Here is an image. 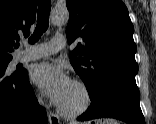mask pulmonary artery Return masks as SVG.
Returning a JSON list of instances; mask_svg holds the SVG:
<instances>
[{"label": "pulmonary artery", "mask_w": 156, "mask_h": 124, "mask_svg": "<svg viewBox=\"0 0 156 124\" xmlns=\"http://www.w3.org/2000/svg\"><path fill=\"white\" fill-rule=\"evenodd\" d=\"M65 47V38L62 35L54 36L49 42L41 43L19 53V63L46 57L55 54Z\"/></svg>", "instance_id": "pulmonary-artery-1"}]
</instances>
